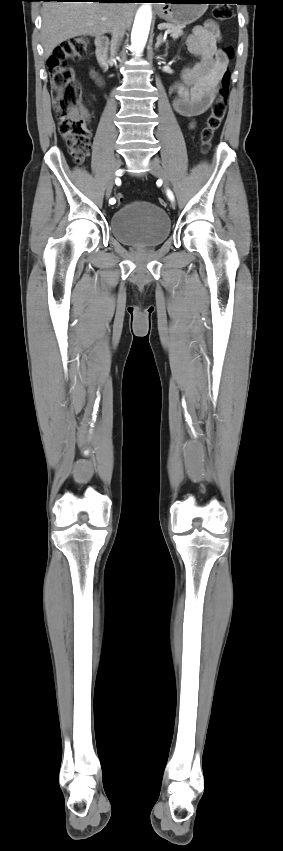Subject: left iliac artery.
<instances>
[{"label":"left iliac artery","mask_w":283,"mask_h":851,"mask_svg":"<svg viewBox=\"0 0 283 851\" xmlns=\"http://www.w3.org/2000/svg\"><path fill=\"white\" fill-rule=\"evenodd\" d=\"M168 196H169L170 199H173V195L170 191H168Z\"/></svg>","instance_id":"1"}]
</instances>
